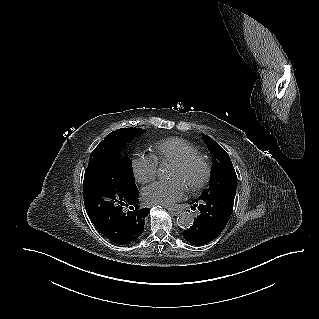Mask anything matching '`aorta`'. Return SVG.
<instances>
[{
	"mask_svg": "<svg viewBox=\"0 0 319 319\" xmlns=\"http://www.w3.org/2000/svg\"><path fill=\"white\" fill-rule=\"evenodd\" d=\"M193 224V215L189 211H182L177 217V225L183 229H188Z\"/></svg>",
	"mask_w": 319,
	"mask_h": 319,
	"instance_id": "762f6f07",
	"label": "aorta"
}]
</instances>
